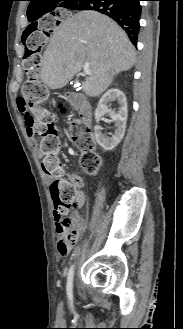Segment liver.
Instances as JSON below:
<instances>
[{
	"mask_svg": "<svg viewBox=\"0 0 183 329\" xmlns=\"http://www.w3.org/2000/svg\"><path fill=\"white\" fill-rule=\"evenodd\" d=\"M134 63L135 48L117 23L96 11H81L54 31L43 54L40 81L51 89L62 88L89 65L91 74L82 88L97 97Z\"/></svg>",
	"mask_w": 183,
	"mask_h": 329,
	"instance_id": "1",
	"label": "liver"
}]
</instances>
